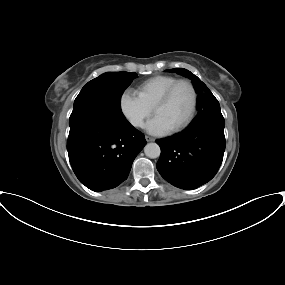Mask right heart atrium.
<instances>
[{
    "mask_svg": "<svg viewBox=\"0 0 285 285\" xmlns=\"http://www.w3.org/2000/svg\"><path fill=\"white\" fill-rule=\"evenodd\" d=\"M119 109L122 116L134 128H141L152 114V108L147 106L136 93L128 89L120 95Z\"/></svg>",
    "mask_w": 285,
    "mask_h": 285,
    "instance_id": "right-heart-atrium-1",
    "label": "right heart atrium"
}]
</instances>
